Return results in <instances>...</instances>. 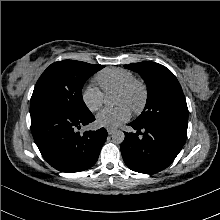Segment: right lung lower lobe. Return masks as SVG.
<instances>
[{
    "mask_svg": "<svg viewBox=\"0 0 220 220\" xmlns=\"http://www.w3.org/2000/svg\"><path fill=\"white\" fill-rule=\"evenodd\" d=\"M31 130L43 158L61 172H80L93 166L107 131H77L95 120L93 114L74 113L48 103L30 105Z\"/></svg>",
    "mask_w": 220,
    "mask_h": 220,
    "instance_id": "1",
    "label": "right lung lower lobe"
}]
</instances>
